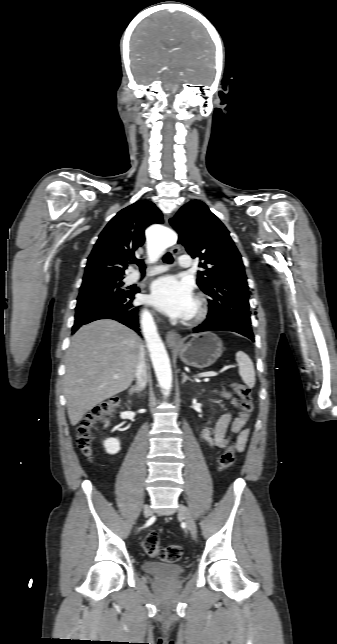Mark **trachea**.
<instances>
[{
	"instance_id": "obj_1",
	"label": "trachea",
	"mask_w": 337,
	"mask_h": 644,
	"mask_svg": "<svg viewBox=\"0 0 337 644\" xmlns=\"http://www.w3.org/2000/svg\"><path fill=\"white\" fill-rule=\"evenodd\" d=\"M163 261L166 262V263H172L173 262L172 255L170 253H167L163 257ZM133 263L137 264L140 267V269H145L146 268V264H145L144 260H135V261H133Z\"/></svg>"
}]
</instances>
